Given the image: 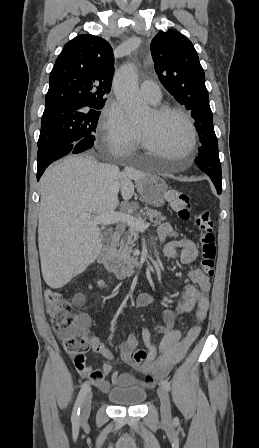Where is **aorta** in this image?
<instances>
[{
	"instance_id": "obj_1",
	"label": "aorta",
	"mask_w": 259,
	"mask_h": 448,
	"mask_svg": "<svg viewBox=\"0 0 259 448\" xmlns=\"http://www.w3.org/2000/svg\"><path fill=\"white\" fill-rule=\"evenodd\" d=\"M114 94L117 101L131 120H138L145 113L147 106L138 90V77L135 66L126 64L114 76Z\"/></svg>"
}]
</instances>
